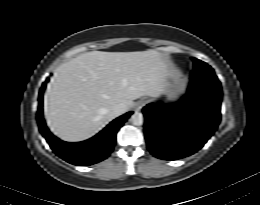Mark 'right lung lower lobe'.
<instances>
[{"instance_id": "98d812e1", "label": "right lung lower lobe", "mask_w": 260, "mask_h": 205, "mask_svg": "<svg viewBox=\"0 0 260 205\" xmlns=\"http://www.w3.org/2000/svg\"><path fill=\"white\" fill-rule=\"evenodd\" d=\"M47 81L49 79L42 84L39 91L37 119L40 132L53 152L65 161L78 166L92 165L107 158L113 150L117 131L133 112H128L115 119L100 133L86 141L77 143L61 141L49 131L43 119V93Z\"/></svg>"}]
</instances>
